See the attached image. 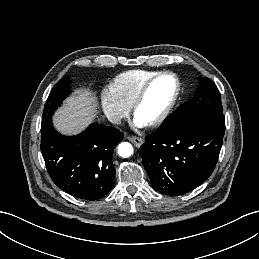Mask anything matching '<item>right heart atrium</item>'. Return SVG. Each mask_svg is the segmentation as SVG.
Masks as SVG:
<instances>
[{
  "label": "right heart atrium",
  "mask_w": 259,
  "mask_h": 259,
  "mask_svg": "<svg viewBox=\"0 0 259 259\" xmlns=\"http://www.w3.org/2000/svg\"><path fill=\"white\" fill-rule=\"evenodd\" d=\"M101 105L107 118L115 124H119L130 113V108L120 101L110 89L102 91Z\"/></svg>",
  "instance_id": "right-heart-atrium-1"
}]
</instances>
